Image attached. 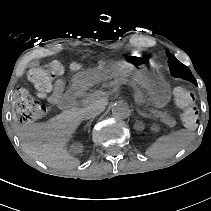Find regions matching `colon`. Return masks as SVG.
Returning a JSON list of instances; mask_svg holds the SVG:
<instances>
[{
    "label": "colon",
    "mask_w": 211,
    "mask_h": 211,
    "mask_svg": "<svg viewBox=\"0 0 211 211\" xmlns=\"http://www.w3.org/2000/svg\"><path fill=\"white\" fill-rule=\"evenodd\" d=\"M121 63L129 64L128 61ZM101 66L107 62L101 61ZM82 65L79 62H72L69 65L71 70H79ZM64 66L59 61H51L39 67L33 68L28 74V79L40 98L50 95L54 81L64 73ZM176 104L181 108V120L188 128H195L198 124V109L195 104L194 94L186 89L179 87L174 91ZM47 113L44 104L34 99L26 90L19 89L14 96L13 119L19 124H30L41 118Z\"/></svg>",
    "instance_id": "obj_1"
}]
</instances>
